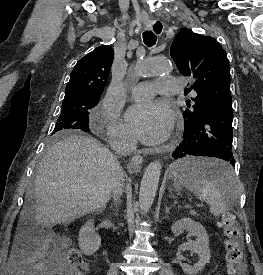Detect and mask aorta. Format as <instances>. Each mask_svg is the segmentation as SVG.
I'll list each match as a JSON object with an SVG mask.
<instances>
[{
  "mask_svg": "<svg viewBox=\"0 0 263 275\" xmlns=\"http://www.w3.org/2000/svg\"><path fill=\"white\" fill-rule=\"evenodd\" d=\"M171 71V64L167 59L150 58L138 62L135 68L136 76H151ZM162 164L156 160L151 162L143 175L139 191V208L146 214L151 208L158 189Z\"/></svg>",
  "mask_w": 263,
  "mask_h": 275,
  "instance_id": "aorta-1",
  "label": "aorta"
}]
</instances>
